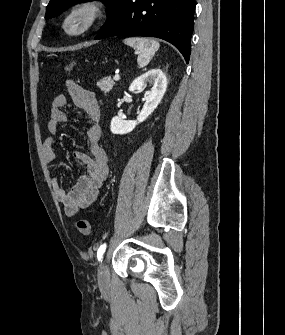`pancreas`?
<instances>
[{"label": "pancreas", "mask_w": 285, "mask_h": 335, "mask_svg": "<svg viewBox=\"0 0 285 335\" xmlns=\"http://www.w3.org/2000/svg\"><path fill=\"white\" fill-rule=\"evenodd\" d=\"M115 82L112 80L111 76H107V78H102V80H99L97 82L98 88H100L101 92H104V94H108L110 90H112Z\"/></svg>", "instance_id": "1"}]
</instances>
